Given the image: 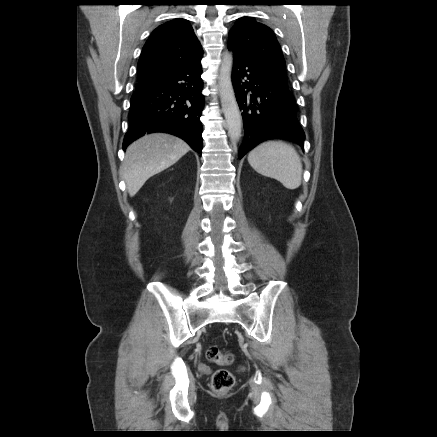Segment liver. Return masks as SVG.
<instances>
[{"label": "liver", "mask_w": 437, "mask_h": 437, "mask_svg": "<svg viewBox=\"0 0 437 437\" xmlns=\"http://www.w3.org/2000/svg\"><path fill=\"white\" fill-rule=\"evenodd\" d=\"M190 150L182 139L166 134H146L126 150L122 175L131 197L155 174L175 164Z\"/></svg>", "instance_id": "6515ba94"}]
</instances>
